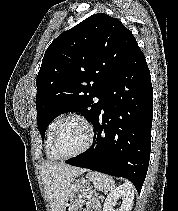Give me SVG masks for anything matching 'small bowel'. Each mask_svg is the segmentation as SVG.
Returning a JSON list of instances; mask_svg holds the SVG:
<instances>
[{"label":"small bowel","mask_w":178,"mask_h":211,"mask_svg":"<svg viewBox=\"0 0 178 211\" xmlns=\"http://www.w3.org/2000/svg\"><path fill=\"white\" fill-rule=\"evenodd\" d=\"M80 211H100V205L96 204L94 207L92 208H84Z\"/></svg>","instance_id":"small-bowel-1"}]
</instances>
